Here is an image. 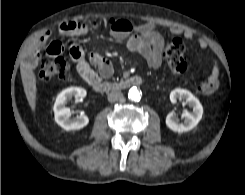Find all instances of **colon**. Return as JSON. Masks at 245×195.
Here are the masks:
<instances>
[{
    "label": "colon",
    "mask_w": 245,
    "mask_h": 195,
    "mask_svg": "<svg viewBox=\"0 0 245 195\" xmlns=\"http://www.w3.org/2000/svg\"><path fill=\"white\" fill-rule=\"evenodd\" d=\"M184 43L181 39H173L164 49V56L168 69L173 74H181L186 68L184 56ZM68 62L61 56L44 58L40 63V78L43 81H53L63 79L68 72Z\"/></svg>",
    "instance_id": "5ec220e1"
}]
</instances>
